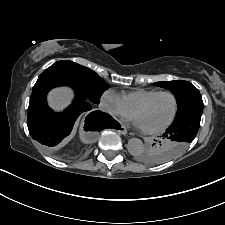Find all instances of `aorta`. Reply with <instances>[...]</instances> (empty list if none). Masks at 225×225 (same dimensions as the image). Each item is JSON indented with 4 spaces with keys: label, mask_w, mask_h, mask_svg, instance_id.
Instances as JSON below:
<instances>
[{
    "label": "aorta",
    "mask_w": 225,
    "mask_h": 225,
    "mask_svg": "<svg viewBox=\"0 0 225 225\" xmlns=\"http://www.w3.org/2000/svg\"><path fill=\"white\" fill-rule=\"evenodd\" d=\"M127 148L130 154L137 155L143 151L144 145L140 139L132 138L128 141Z\"/></svg>",
    "instance_id": "762f6f07"
}]
</instances>
